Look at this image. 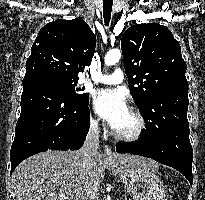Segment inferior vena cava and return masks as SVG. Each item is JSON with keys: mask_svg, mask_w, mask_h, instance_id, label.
Segmentation results:
<instances>
[{"mask_svg": "<svg viewBox=\"0 0 205 200\" xmlns=\"http://www.w3.org/2000/svg\"><path fill=\"white\" fill-rule=\"evenodd\" d=\"M99 148V130L97 121L90 123V128L82 148L81 154L82 165L88 172L94 165V157L97 155ZM98 183L90 180L87 182L85 190V200H98Z\"/></svg>", "mask_w": 205, "mask_h": 200, "instance_id": "obj_1", "label": "inferior vena cava"}]
</instances>
